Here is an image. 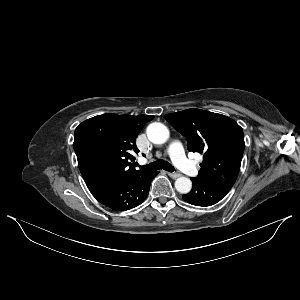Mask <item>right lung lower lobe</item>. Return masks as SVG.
<instances>
[{"instance_id":"right-lung-lower-lobe-1","label":"right lung lower lobe","mask_w":300,"mask_h":300,"mask_svg":"<svg viewBox=\"0 0 300 300\" xmlns=\"http://www.w3.org/2000/svg\"><path fill=\"white\" fill-rule=\"evenodd\" d=\"M157 171L124 178L107 187L91 191L92 195L106 207L115 211H125L137 207L147 197L151 180Z\"/></svg>"}]
</instances>
